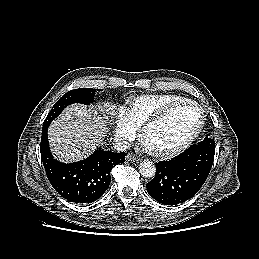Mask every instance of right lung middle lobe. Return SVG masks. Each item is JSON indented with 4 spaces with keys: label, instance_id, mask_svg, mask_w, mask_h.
Listing matches in <instances>:
<instances>
[{
    "label": "right lung middle lobe",
    "instance_id": "obj_1",
    "mask_svg": "<svg viewBox=\"0 0 259 259\" xmlns=\"http://www.w3.org/2000/svg\"><path fill=\"white\" fill-rule=\"evenodd\" d=\"M96 89L93 88H79L67 92L62 96L52 107L50 113L46 117L43 126H49V124L72 103L90 104L94 101Z\"/></svg>",
    "mask_w": 259,
    "mask_h": 259
}]
</instances>
